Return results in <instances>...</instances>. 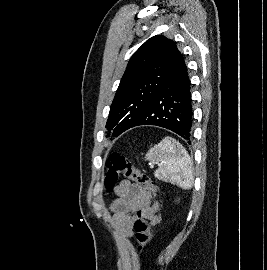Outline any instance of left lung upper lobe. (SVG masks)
I'll return each mask as SVG.
<instances>
[{"label": "left lung upper lobe", "instance_id": "left-lung-upper-lobe-1", "mask_svg": "<svg viewBox=\"0 0 267 270\" xmlns=\"http://www.w3.org/2000/svg\"><path fill=\"white\" fill-rule=\"evenodd\" d=\"M179 56L176 44L162 35L132 55L110 107L107 130L117 137L131 128L167 82Z\"/></svg>", "mask_w": 267, "mask_h": 270}]
</instances>
